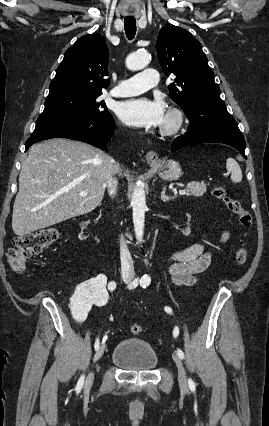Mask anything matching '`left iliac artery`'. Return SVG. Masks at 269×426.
<instances>
[{
	"label": "left iliac artery",
	"mask_w": 269,
	"mask_h": 426,
	"mask_svg": "<svg viewBox=\"0 0 269 426\" xmlns=\"http://www.w3.org/2000/svg\"><path fill=\"white\" fill-rule=\"evenodd\" d=\"M150 282H151V278H150V276H148V275H146V274H145V275L141 278V280H140V285H141L143 288H146V287L150 284ZM164 310H165L167 313L172 314V309H171L170 307L166 306V307L164 308ZM178 334H179V329H178V327H175V328H174V330H173V336L176 338V337L178 336ZM177 354H178V356H179L181 359H184V353H183V351H182L181 349H177ZM188 385H189V388H190L192 391H195V383L193 382V380H192V379H189V380H188Z\"/></svg>",
	"instance_id": "obj_1"
}]
</instances>
